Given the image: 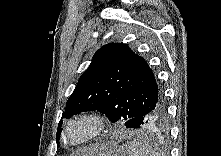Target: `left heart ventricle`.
Wrapping results in <instances>:
<instances>
[{
	"mask_svg": "<svg viewBox=\"0 0 221 156\" xmlns=\"http://www.w3.org/2000/svg\"><path fill=\"white\" fill-rule=\"evenodd\" d=\"M89 132V126L87 124H78L73 126L69 133L68 137L72 140L80 139Z\"/></svg>",
	"mask_w": 221,
	"mask_h": 156,
	"instance_id": "left-heart-ventricle-1",
	"label": "left heart ventricle"
}]
</instances>
